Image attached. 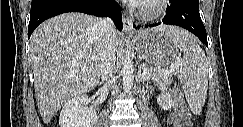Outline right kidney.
<instances>
[{"instance_id": "1", "label": "right kidney", "mask_w": 243, "mask_h": 127, "mask_svg": "<svg viewBox=\"0 0 243 127\" xmlns=\"http://www.w3.org/2000/svg\"><path fill=\"white\" fill-rule=\"evenodd\" d=\"M88 104L89 98L85 94L77 95L66 102L59 117L60 127H93L97 114Z\"/></svg>"}]
</instances>
